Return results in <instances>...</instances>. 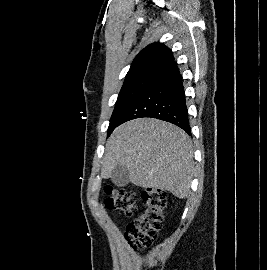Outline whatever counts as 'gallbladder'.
<instances>
[{"instance_id": "obj_1", "label": "gallbladder", "mask_w": 267, "mask_h": 270, "mask_svg": "<svg viewBox=\"0 0 267 270\" xmlns=\"http://www.w3.org/2000/svg\"><path fill=\"white\" fill-rule=\"evenodd\" d=\"M112 182L119 186L125 187L129 183V171L126 167L116 166L112 171Z\"/></svg>"}]
</instances>
